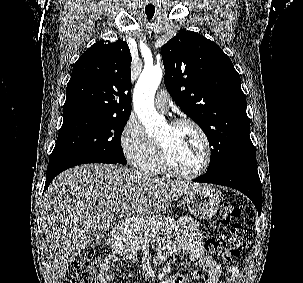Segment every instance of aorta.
Instances as JSON below:
<instances>
[{"label":"aorta","instance_id":"obj_1","mask_svg":"<svg viewBox=\"0 0 303 283\" xmlns=\"http://www.w3.org/2000/svg\"><path fill=\"white\" fill-rule=\"evenodd\" d=\"M162 69L159 65L145 67L136 83L133 103L135 112L145 126L148 135H154L165 124L154 107V96L162 79Z\"/></svg>","mask_w":303,"mask_h":283}]
</instances>
